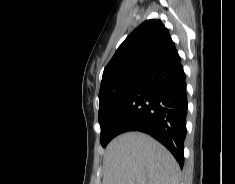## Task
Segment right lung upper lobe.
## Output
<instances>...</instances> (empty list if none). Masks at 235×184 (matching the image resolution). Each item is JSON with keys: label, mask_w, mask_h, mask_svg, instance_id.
I'll return each instance as SVG.
<instances>
[{"label": "right lung upper lobe", "mask_w": 235, "mask_h": 184, "mask_svg": "<svg viewBox=\"0 0 235 184\" xmlns=\"http://www.w3.org/2000/svg\"><path fill=\"white\" fill-rule=\"evenodd\" d=\"M176 52L169 31L160 20L143 22L119 46L105 67L99 99L106 91L128 80L144 78Z\"/></svg>", "instance_id": "cb5924a9"}]
</instances>
